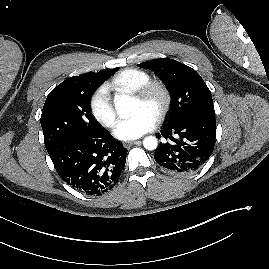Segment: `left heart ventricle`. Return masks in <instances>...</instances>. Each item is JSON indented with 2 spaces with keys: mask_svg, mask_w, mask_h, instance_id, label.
Here are the masks:
<instances>
[{
  "mask_svg": "<svg viewBox=\"0 0 269 269\" xmlns=\"http://www.w3.org/2000/svg\"><path fill=\"white\" fill-rule=\"evenodd\" d=\"M161 104V96L158 93L153 94L147 101L134 99L132 113H136L141 109H145L156 116Z\"/></svg>",
  "mask_w": 269,
  "mask_h": 269,
  "instance_id": "obj_1",
  "label": "left heart ventricle"
}]
</instances>
